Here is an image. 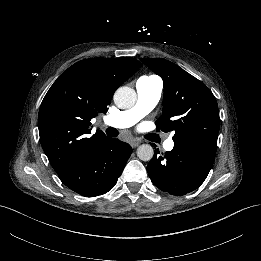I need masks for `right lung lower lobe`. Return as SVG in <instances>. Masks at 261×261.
<instances>
[{
	"label": "right lung lower lobe",
	"mask_w": 261,
	"mask_h": 261,
	"mask_svg": "<svg viewBox=\"0 0 261 261\" xmlns=\"http://www.w3.org/2000/svg\"><path fill=\"white\" fill-rule=\"evenodd\" d=\"M131 153L130 145L107 137L94 151L59 173V178L84 197L104 194L116 184Z\"/></svg>",
	"instance_id": "right-lung-lower-lobe-1"
}]
</instances>
